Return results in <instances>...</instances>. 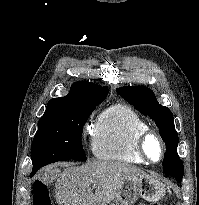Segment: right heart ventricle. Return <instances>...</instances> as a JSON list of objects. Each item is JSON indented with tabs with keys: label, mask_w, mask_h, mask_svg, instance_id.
Instances as JSON below:
<instances>
[{
	"label": "right heart ventricle",
	"mask_w": 199,
	"mask_h": 205,
	"mask_svg": "<svg viewBox=\"0 0 199 205\" xmlns=\"http://www.w3.org/2000/svg\"><path fill=\"white\" fill-rule=\"evenodd\" d=\"M145 120L131 107L115 104L100 113L93 134L96 158L123 164H146L136 153V139L147 130Z\"/></svg>",
	"instance_id": "e07e8e85"
}]
</instances>
